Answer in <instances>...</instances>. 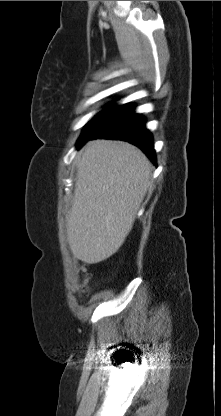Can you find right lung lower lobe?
Returning a JSON list of instances; mask_svg holds the SVG:
<instances>
[{
	"label": "right lung lower lobe",
	"mask_w": 221,
	"mask_h": 416,
	"mask_svg": "<svg viewBox=\"0 0 221 416\" xmlns=\"http://www.w3.org/2000/svg\"><path fill=\"white\" fill-rule=\"evenodd\" d=\"M133 109L130 104L119 106L106 122L90 134L81 137L77 142V148L95 138L125 140L138 146L156 164L153 140L145 128V119L134 113Z\"/></svg>",
	"instance_id": "right-lung-lower-lobe-1"
}]
</instances>
